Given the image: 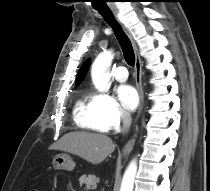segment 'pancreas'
<instances>
[{
  "label": "pancreas",
  "mask_w": 210,
  "mask_h": 191,
  "mask_svg": "<svg viewBox=\"0 0 210 191\" xmlns=\"http://www.w3.org/2000/svg\"><path fill=\"white\" fill-rule=\"evenodd\" d=\"M80 185H85L86 190H95L99 179L95 175H83L79 179Z\"/></svg>",
  "instance_id": "obj_1"
}]
</instances>
